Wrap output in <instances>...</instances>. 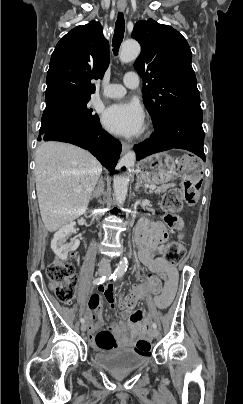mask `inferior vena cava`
Masks as SVG:
<instances>
[{
	"instance_id": "602c4592",
	"label": "inferior vena cava",
	"mask_w": 243,
	"mask_h": 404,
	"mask_svg": "<svg viewBox=\"0 0 243 404\" xmlns=\"http://www.w3.org/2000/svg\"><path fill=\"white\" fill-rule=\"evenodd\" d=\"M110 260L107 258H102V262L99 264L98 273L99 274H110L111 273V266L109 264Z\"/></svg>"
}]
</instances>
